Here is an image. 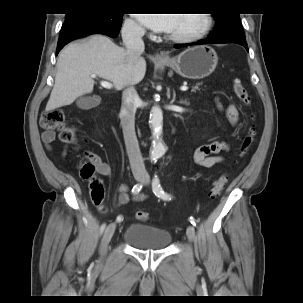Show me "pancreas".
<instances>
[{
    "label": "pancreas",
    "mask_w": 303,
    "mask_h": 303,
    "mask_svg": "<svg viewBox=\"0 0 303 303\" xmlns=\"http://www.w3.org/2000/svg\"><path fill=\"white\" fill-rule=\"evenodd\" d=\"M199 86H200V84L197 83L194 87H192V91L199 90Z\"/></svg>",
    "instance_id": "pancreas-1"
}]
</instances>
